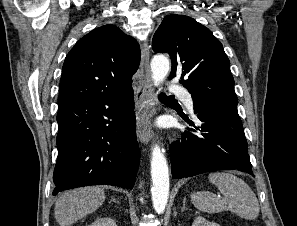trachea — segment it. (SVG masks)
<instances>
[{"instance_id": "1", "label": "trachea", "mask_w": 297, "mask_h": 226, "mask_svg": "<svg viewBox=\"0 0 297 226\" xmlns=\"http://www.w3.org/2000/svg\"><path fill=\"white\" fill-rule=\"evenodd\" d=\"M159 99L163 102H177V100L173 96H167L164 93L159 95Z\"/></svg>"}]
</instances>
